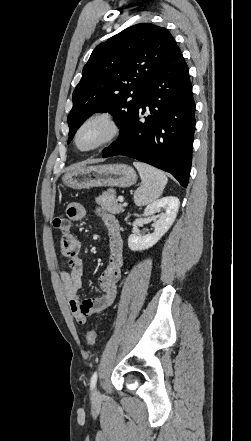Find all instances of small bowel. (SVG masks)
Masks as SVG:
<instances>
[{
    "mask_svg": "<svg viewBox=\"0 0 251 441\" xmlns=\"http://www.w3.org/2000/svg\"><path fill=\"white\" fill-rule=\"evenodd\" d=\"M67 213L71 220L79 221L86 216L87 210L80 203H72ZM101 218L109 234L110 248L108 266L98 280L101 296L80 300L78 292L82 287L84 275L83 260L80 256L81 243L71 234L62 237L60 242L65 264L69 270L61 269L59 275L71 313L80 324H84L87 318L100 314L112 306L124 264L120 224L110 213H102Z\"/></svg>",
    "mask_w": 251,
    "mask_h": 441,
    "instance_id": "obj_1",
    "label": "small bowel"
}]
</instances>
